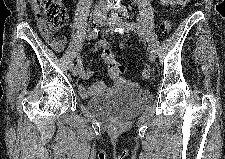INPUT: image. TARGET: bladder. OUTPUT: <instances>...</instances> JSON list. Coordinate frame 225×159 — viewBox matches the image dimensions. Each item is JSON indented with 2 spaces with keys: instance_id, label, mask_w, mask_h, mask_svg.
I'll list each match as a JSON object with an SVG mask.
<instances>
[{
  "instance_id": "31cf9c89",
  "label": "bladder",
  "mask_w": 225,
  "mask_h": 159,
  "mask_svg": "<svg viewBox=\"0 0 225 159\" xmlns=\"http://www.w3.org/2000/svg\"><path fill=\"white\" fill-rule=\"evenodd\" d=\"M149 91L138 86H120L105 90L87 101L88 109L105 120L131 119L152 104Z\"/></svg>"
}]
</instances>
